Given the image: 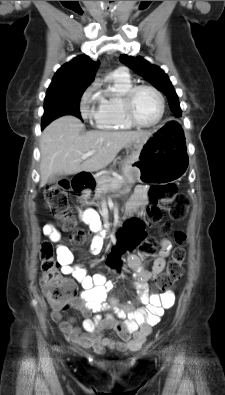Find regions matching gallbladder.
<instances>
[{
    "mask_svg": "<svg viewBox=\"0 0 225 395\" xmlns=\"http://www.w3.org/2000/svg\"><path fill=\"white\" fill-rule=\"evenodd\" d=\"M59 178H60V176L57 175V174L52 175V176L49 177L48 182H49V183H53V182H55V181H58Z\"/></svg>",
    "mask_w": 225,
    "mask_h": 395,
    "instance_id": "obj_1",
    "label": "gallbladder"
}]
</instances>
